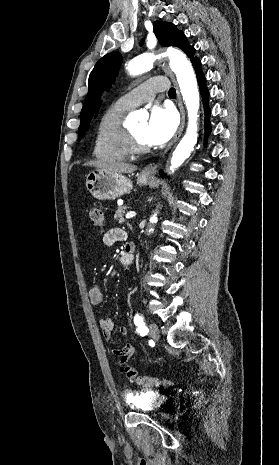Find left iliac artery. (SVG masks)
Returning <instances> with one entry per match:
<instances>
[{"label": "left iliac artery", "mask_w": 279, "mask_h": 465, "mask_svg": "<svg viewBox=\"0 0 279 465\" xmlns=\"http://www.w3.org/2000/svg\"><path fill=\"white\" fill-rule=\"evenodd\" d=\"M134 323L137 326V332L141 336H145L148 333V328L142 316L136 314L134 317Z\"/></svg>", "instance_id": "1"}]
</instances>
